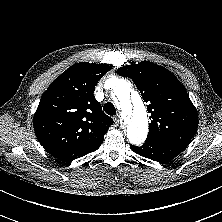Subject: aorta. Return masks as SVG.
Segmentation results:
<instances>
[{
    "label": "aorta",
    "mask_w": 222,
    "mask_h": 222,
    "mask_svg": "<svg viewBox=\"0 0 222 222\" xmlns=\"http://www.w3.org/2000/svg\"><path fill=\"white\" fill-rule=\"evenodd\" d=\"M131 86L124 79H116L113 84V93L119 100L124 119V131L129 141L141 145L148 133V118L146 109L138 97L134 104L131 100Z\"/></svg>",
    "instance_id": "1"
}]
</instances>
